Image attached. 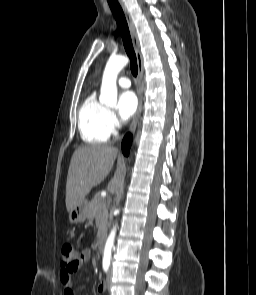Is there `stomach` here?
Returning <instances> with one entry per match:
<instances>
[{"mask_svg":"<svg viewBox=\"0 0 256 295\" xmlns=\"http://www.w3.org/2000/svg\"><path fill=\"white\" fill-rule=\"evenodd\" d=\"M88 202L83 200L69 211L68 220L70 224H80L87 218Z\"/></svg>","mask_w":256,"mask_h":295,"instance_id":"obj_1","label":"stomach"}]
</instances>
